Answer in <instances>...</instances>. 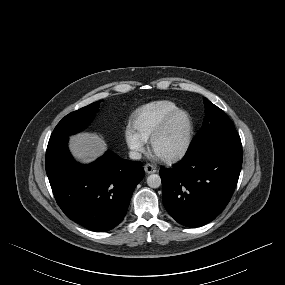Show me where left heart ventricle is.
I'll list each match as a JSON object with an SVG mask.
<instances>
[{"label": "left heart ventricle", "mask_w": 285, "mask_h": 285, "mask_svg": "<svg viewBox=\"0 0 285 285\" xmlns=\"http://www.w3.org/2000/svg\"><path fill=\"white\" fill-rule=\"evenodd\" d=\"M188 121L184 115L177 116L158 140L156 150L160 155H171L179 151L185 141Z\"/></svg>", "instance_id": "left-heart-ventricle-1"}]
</instances>
